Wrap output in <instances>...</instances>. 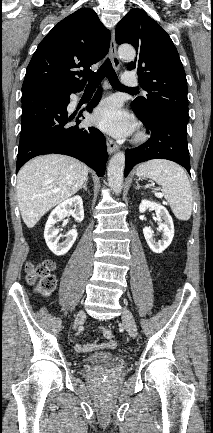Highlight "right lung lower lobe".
I'll return each mask as SVG.
<instances>
[{
  "label": "right lung lower lobe",
  "mask_w": 213,
  "mask_h": 433,
  "mask_svg": "<svg viewBox=\"0 0 213 433\" xmlns=\"http://www.w3.org/2000/svg\"><path fill=\"white\" fill-rule=\"evenodd\" d=\"M70 94L23 93L16 173L33 157L57 153L80 159L93 168L98 176L104 174L108 159L105 137L94 127H78L81 118H84L82 112L78 116H68L67 105L70 103ZM100 98L101 88L88 104L87 111L90 112Z\"/></svg>",
  "instance_id": "obj_1"
}]
</instances>
